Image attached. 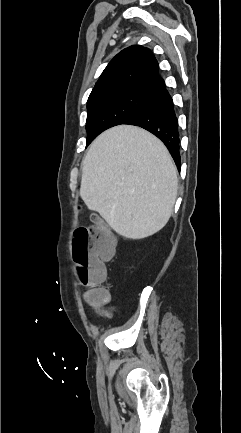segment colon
I'll use <instances>...</instances> for the list:
<instances>
[{
  "label": "colon",
  "instance_id": "colon-1",
  "mask_svg": "<svg viewBox=\"0 0 241 433\" xmlns=\"http://www.w3.org/2000/svg\"><path fill=\"white\" fill-rule=\"evenodd\" d=\"M88 206H76V215H88L82 209ZM96 235L92 237L90 228H79L75 232L73 245V271L79 272L83 285L98 286L106 278L104 262L108 260L114 251V240L106 227L99 224ZM108 297L105 289L95 287L87 293L90 302H100Z\"/></svg>",
  "mask_w": 241,
  "mask_h": 433
}]
</instances>
